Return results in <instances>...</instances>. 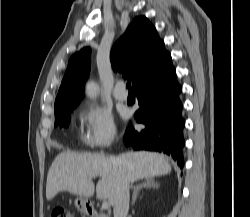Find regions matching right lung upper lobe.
Masks as SVG:
<instances>
[{
    "instance_id": "right-lung-upper-lobe-1",
    "label": "right lung upper lobe",
    "mask_w": 250,
    "mask_h": 217,
    "mask_svg": "<svg viewBox=\"0 0 250 217\" xmlns=\"http://www.w3.org/2000/svg\"><path fill=\"white\" fill-rule=\"evenodd\" d=\"M90 53V48H83L70 58L55 100V116L72 111L81 101L90 70ZM168 55L155 27L141 16L132 21L114 44L110 59L113 69L132 79L135 87L155 71Z\"/></svg>"
}]
</instances>
